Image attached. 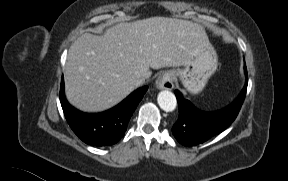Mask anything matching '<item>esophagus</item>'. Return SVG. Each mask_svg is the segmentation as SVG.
Returning a JSON list of instances; mask_svg holds the SVG:
<instances>
[{
  "mask_svg": "<svg viewBox=\"0 0 288 181\" xmlns=\"http://www.w3.org/2000/svg\"><path fill=\"white\" fill-rule=\"evenodd\" d=\"M155 86L158 90H171L174 87V75L171 72H165L156 80Z\"/></svg>",
  "mask_w": 288,
  "mask_h": 181,
  "instance_id": "esophagus-1",
  "label": "esophagus"
}]
</instances>
